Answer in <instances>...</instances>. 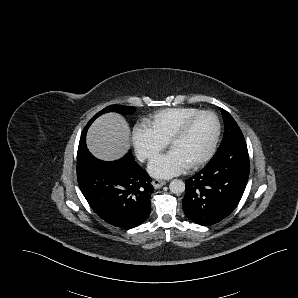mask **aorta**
Masks as SVG:
<instances>
[{
    "label": "aorta",
    "instance_id": "obj_1",
    "mask_svg": "<svg viewBox=\"0 0 298 298\" xmlns=\"http://www.w3.org/2000/svg\"><path fill=\"white\" fill-rule=\"evenodd\" d=\"M169 190L172 193H182L185 190V182L181 179H173L169 182Z\"/></svg>",
    "mask_w": 298,
    "mask_h": 298
}]
</instances>
